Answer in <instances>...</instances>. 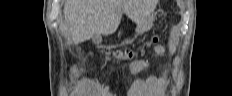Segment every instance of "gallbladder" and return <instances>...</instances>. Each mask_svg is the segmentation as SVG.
Masks as SVG:
<instances>
[{"instance_id": "gallbladder-1", "label": "gallbladder", "mask_w": 232, "mask_h": 96, "mask_svg": "<svg viewBox=\"0 0 232 96\" xmlns=\"http://www.w3.org/2000/svg\"><path fill=\"white\" fill-rule=\"evenodd\" d=\"M93 41H94L95 43H100V42H101V36L98 35V34H95V35L93 36Z\"/></svg>"}]
</instances>
